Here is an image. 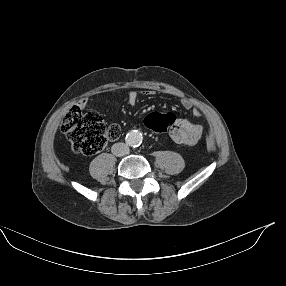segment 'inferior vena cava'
Returning <instances> with one entry per match:
<instances>
[{"label":"inferior vena cava","instance_id":"602c4592","mask_svg":"<svg viewBox=\"0 0 286 286\" xmlns=\"http://www.w3.org/2000/svg\"><path fill=\"white\" fill-rule=\"evenodd\" d=\"M111 151L116 156H125L129 153V147L127 144L119 142L112 146Z\"/></svg>","mask_w":286,"mask_h":286}]
</instances>
